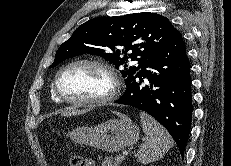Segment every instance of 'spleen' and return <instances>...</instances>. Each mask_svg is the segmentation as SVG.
<instances>
[{
    "instance_id": "obj_1",
    "label": "spleen",
    "mask_w": 231,
    "mask_h": 166,
    "mask_svg": "<svg viewBox=\"0 0 231 166\" xmlns=\"http://www.w3.org/2000/svg\"><path fill=\"white\" fill-rule=\"evenodd\" d=\"M140 118L146 139L137 152V159L142 164H148L161 159L173 147L174 141L166 129L150 115L141 112Z\"/></svg>"
}]
</instances>
